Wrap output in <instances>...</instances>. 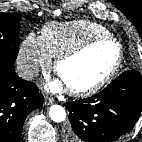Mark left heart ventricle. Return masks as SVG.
Here are the masks:
<instances>
[{"mask_svg": "<svg viewBox=\"0 0 142 142\" xmlns=\"http://www.w3.org/2000/svg\"><path fill=\"white\" fill-rule=\"evenodd\" d=\"M117 47L108 42L100 43L82 55L60 66L59 77L67 88L82 89L102 78L114 65Z\"/></svg>", "mask_w": 142, "mask_h": 142, "instance_id": "b2bd125f", "label": "left heart ventricle"}]
</instances>
